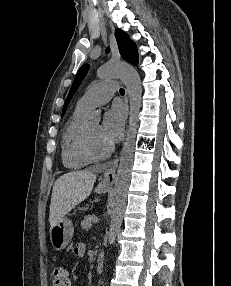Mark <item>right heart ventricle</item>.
<instances>
[{
  "label": "right heart ventricle",
  "instance_id": "right-heart-ventricle-1",
  "mask_svg": "<svg viewBox=\"0 0 231 286\" xmlns=\"http://www.w3.org/2000/svg\"><path fill=\"white\" fill-rule=\"evenodd\" d=\"M87 110L76 108L64 126L60 144L62 164L70 170H78L87 166V162L78 152V139L84 125Z\"/></svg>",
  "mask_w": 231,
  "mask_h": 286
}]
</instances>
